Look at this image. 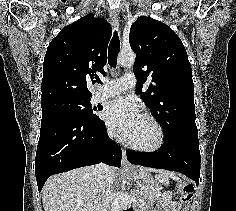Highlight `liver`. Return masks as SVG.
Wrapping results in <instances>:
<instances>
[{"label":"liver","mask_w":236,"mask_h":211,"mask_svg":"<svg viewBox=\"0 0 236 211\" xmlns=\"http://www.w3.org/2000/svg\"><path fill=\"white\" fill-rule=\"evenodd\" d=\"M95 167H82L50 177L42 190L44 211H93L97 192ZM145 171L161 172L151 168ZM108 179L112 185L116 169L108 167Z\"/></svg>","instance_id":"6515ba94"}]
</instances>
